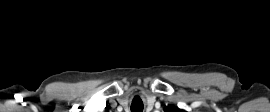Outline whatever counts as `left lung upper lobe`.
Here are the masks:
<instances>
[{"instance_id":"1","label":"left lung upper lobe","mask_w":270,"mask_h":112,"mask_svg":"<svg viewBox=\"0 0 270 112\" xmlns=\"http://www.w3.org/2000/svg\"><path fill=\"white\" fill-rule=\"evenodd\" d=\"M165 112H186L184 110H181L179 108L173 107V106H168L164 109Z\"/></svg>"}]
</instances>
